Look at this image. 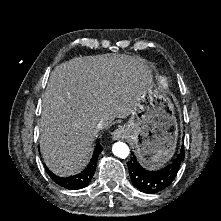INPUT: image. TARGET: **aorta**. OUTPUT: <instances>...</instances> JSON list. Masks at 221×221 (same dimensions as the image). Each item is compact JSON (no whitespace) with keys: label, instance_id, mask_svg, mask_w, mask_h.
Returning <instances> with one entry per match:
<instances>
[{"label":"aorta","instance_id":"762f6f07","mask_svg":"<svg viewBox=\"0 0 221 221\" xmlns=\"http://www.w3.org/2000/svg\"><path fill=\"white\" fill-rule=\"evenodd\" d=\"M112 151L119 158H126L130 153L129 147L123 142H116L112 147Z\"/></svg>","mask_w":221,"mask_h":221}]
</instances>
